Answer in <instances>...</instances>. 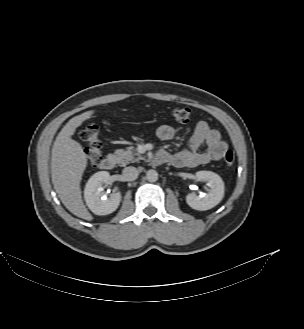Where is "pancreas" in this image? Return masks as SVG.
<instances>
[{"instance_id": "obj_1", "label": "pancreas", "mask_w": 304, "mask_h": 329, "mask_svg": "<svg viewBox=\"0 0 304 329\" xmlns=\"http://www.w3.org/2000/svg\"><path fill=\"white\" fill-rule=\"evenodd\" d=\"M114 155L120 166H126L127 164L134 163L142 159L141 155L134 147H128L126 150L118 149L114 152Z\"/></svg>"}]
</instances>
